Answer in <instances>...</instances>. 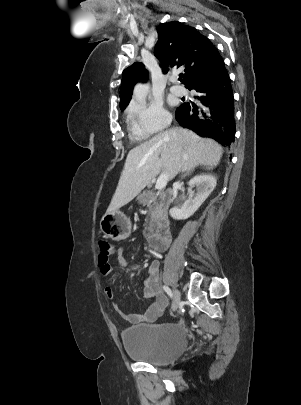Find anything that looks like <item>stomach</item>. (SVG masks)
I'll return each instance as SVG.
<instances>
[{
	"instance_id": "1",
	"label": "stomach",
	"mask_w": 301,
	"mask_h": 405,
	"mask_svg": "<svg viewBox=\"0 0 301 405\" xmlns=\"http://www.w3.org/2000/svg\"><path fill=\"white\" fill-rule=\"evenodd\" d=\"M102 233L112 240L120 241L129 237L131 233L130 219L120 211L106 213L100 220Z\"/></svg>"
}]
</instances>
